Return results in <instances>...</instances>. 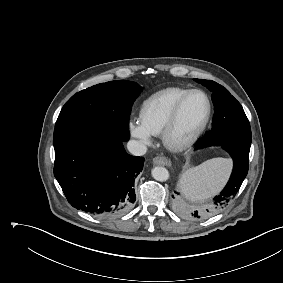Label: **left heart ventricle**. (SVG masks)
<instances>
[{
	"instance_id": "b2bd125f",
	"label": "left heart ventricle",
	"mask_w": 283,
	"mask_h": 283,
	"mask_svg": "<svg viewBox=\"0 0 283 283\" xmlns=\"http://www.w3.org/2000/svg\"><path fill=\"white\" fill-rule=\"evenodd\" d=\"M206 113V101L200 94L190 95L180 110L173 136L181 140L189 137L201 124Z\"/></svg>"
}]
</instances>
